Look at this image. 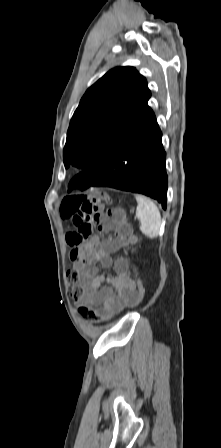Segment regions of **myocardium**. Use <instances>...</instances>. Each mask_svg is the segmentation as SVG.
Listing matches in <instances>:
<instances>
[{
    "instance_id": "f54148a6",
    "label": "myocardium",
    "mask_w": 221,
    "mask_h": 448,
    "mask_svg": "<svg viewBox=\"0 0 221 448\" xmlns=\"http://www.w3.org/2000/svg\"><path fill=\"white\" fill-rule=\"evenodd\" d=\"M84 172H85L84 169H82V168L78 169V174H83Z\"/></svg>"
}]
</instances>
